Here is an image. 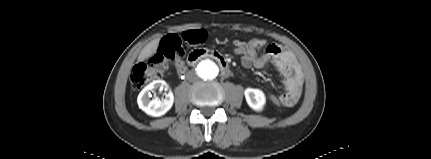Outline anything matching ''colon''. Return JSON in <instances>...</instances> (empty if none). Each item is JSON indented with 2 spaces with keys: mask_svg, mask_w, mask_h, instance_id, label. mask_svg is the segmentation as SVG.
Instances as JSON below:
<instances>
[{
  "mask_svg": "<svg viewBox=\"0 0 431 159\" xmlns=\"http://www.w3.org/2000/svg\"><path fill=\"white\" fill-rule=\"evenodd\" d=\"M203 30L184 32L182 35L170 34L164 37L158 52L150 59L134 66L130 82L134 89L139 90L146 84L159 79L175 62L184 57L187 45H196L205 40ZM232 55H242L245 49L241 46L230 49ZM269 102L277 105L276 95H269Z\"/></svg>",
  "mask_w": 431,
  "mask_h": 159,
  "instance_id": "5ec220e1",
  "label": "colon"
}]
</instances>
